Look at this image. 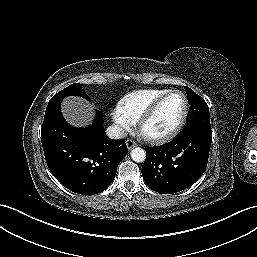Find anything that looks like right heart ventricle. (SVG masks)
Listing matches in <instances>:
<instances>
[{"instance_id":"right-heart-ventricle-1","label":"right heart ventricle","mask_w":257,"mask_h":257,"mask_svg":"<svg viewBox=\"0 0 257 257\" xmlns=\"http://www.w3.org/2000/svg\"><path fill=\"white\" fill-rule=\"evenodd\" d=\"M168 91L170 90L145 89L133 91L121 98L118 105L133 122H136L156 99Z\"/></svg>"}]
</instances>
